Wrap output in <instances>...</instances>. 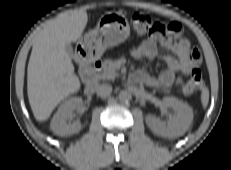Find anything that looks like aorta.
Listing matches in <instances>:
<instances>
[{
    "label": "aorta",
    "mask_w": 231,
    "mask_h": 170,
    "mask_svg": "<svg viewBox=\"0 0 231 170\" xmlns=\"http://www.w3.org/2000/svg\"><path fill=\"white\" fill-rule=\"evenodd\" d=\"M118 98L121 102H129L132 98V95L129 91L123 90L119 93Z\"/></svg>",
    "instance_id": "762f6f07"
}]
</instances>
